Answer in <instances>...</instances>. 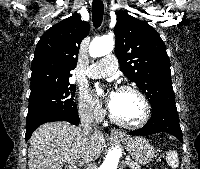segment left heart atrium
I'll list each match as a JSON object with an SVG mask.
<instances>
[{"label": "left heart atrium", "mask_w": 200, "mask_h": 169, "mask_svg": "<svg viewBox=\"0 0 200 169\" xmlns=\"http://www.w3.org/2000/svg\"><path fill=\"white\" fill-rule=\"evenodd\" d=\"M98 93L101 94L102 91L101 90H98ZM116 91H110L108 94H107V104L111 110L112 106H113V103L115 101V98H116Z\"/></svg>", "instance_id": "left-heart-atrium-1"}]
</instances>
